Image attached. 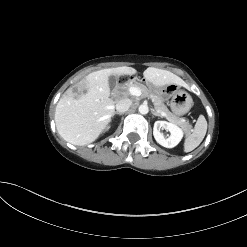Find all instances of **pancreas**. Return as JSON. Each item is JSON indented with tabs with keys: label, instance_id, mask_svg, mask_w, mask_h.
I'll list each match as a JSON object with an SVG mask.
<instances>
[{
	"label": "pancreas",
	"instance_id": "obj_1",
	"mask_svg": "<svg viewBox=\"0 0 247 247\" xmlns=\"http://www.w3.org/2000/svg\"><path fill=\"white\" fill-rule=\"evenodd\" d=\"M128 87L129 88L138 87L147 97L152 99V101L154 102L155 109L157 111L164 112L166 114L167 120L182 127L186 133L190 132L192 126L188 122H186L184 119L178 118L174 114H172L168 110L167 106L163 103V99L160 96L149 91L147 87H145L144 85H138V84L132 83V84H129Z\"/></svg>",
	"mask_w": 247,
	"mask_h": 247
}]
</instances>
